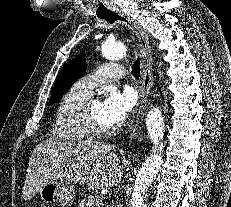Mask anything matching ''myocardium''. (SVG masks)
<instances>
[{
	"mask_svg": "<svg viewBox=\"0 0 231 207\" xmlns=\"http://www.w3.org/2000/svg\"><path fill=\"white\" fill-rule=\"evenodd\" d=\"M95 99H88L81 110V123L84 129L93 137H104L114 132L112 127H102L94 119L91 112V105Z\"/></svg>",
	"mask_w": 231,
	"mask_h": 207,
	"instance_id": "1",
	"label": "myocardium"
}]
</instances>
